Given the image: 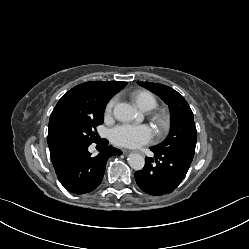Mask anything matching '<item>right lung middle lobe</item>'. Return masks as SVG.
<instances>
[{
  "label": "right lung middle lobe",
  "mask_w": 249,
  "mask_h": 249,
  "mask_svg": "<svg viewBox=\"0 0 249 249\" xmlns=\"http://www.w3.org/2000/svg\"><path fill=\"white\" fill-rule=\"evenodd\" d=\"M105 107L94 117L75 120L63 128L64 140L69 149L91 144L97 141L96 126L103 123Z\"/></svg>",
  "instance_id": "right-lung-middle-lobe-1"
}]
</instances>
